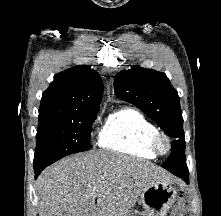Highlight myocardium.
I'll use <instances>...</instances> for the list:
<instances>
[{
    "instance_id": "f54148a6",
    "label": "myocardium",
    "mask_w": 221,
    "mask_h": 216,
    "mask_svg": "<svg viewBox=\"0 0 221 216\" xmlns=\"http://www.w3.org/2000/svg\"><path fill=\"white\" fill-rule=\"evenodd\" d=\"M149 148L158 155H165L171 150L169 136L160 130H154L148 137Z\"/></svg>"
}]
</instances>
